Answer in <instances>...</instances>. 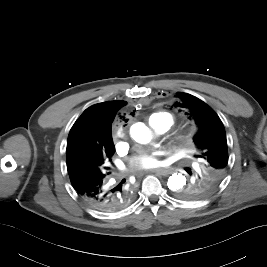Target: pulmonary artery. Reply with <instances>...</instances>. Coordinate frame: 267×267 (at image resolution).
Returning <instances> with one entry per match:
<instances>
[{
	"label": "pulmonary artery",
	"mask_w": 267,
	"mask_h": 267,
	"mask_svg": "<svg viewBox=\"0 0 267 267\" xmlns=\"http://www.w3.org/2000/svg\"><path fill=\"white\" fill-rule=\"evenodd\" d=\"M152 127L156 133L163 134L169 129L170 123L168 120L162 119L158 122L153 123Z\"/></svg>",
	"instance_id": "1"
}]
</instances>
